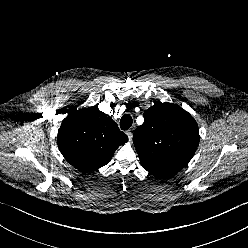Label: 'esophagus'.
Here are the masks:
<instances>
[{
	"instance_id": "34e87169",
	"label": "esophagus",
	"mask_w": 248,
	"mask_h": 248,
	"mask_svg": "<svg viewBox=\"0 0 248 248\" xmlns=\"http://www.w3.org/2000/svg\"><path fill=\"white\" fill-rule=\"evenodd\" d=\"M126 135L128 136L129 141H132V138H133L132 130L126 131Z\"/></svg>"
}]
</instances>
